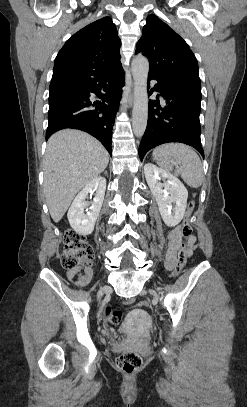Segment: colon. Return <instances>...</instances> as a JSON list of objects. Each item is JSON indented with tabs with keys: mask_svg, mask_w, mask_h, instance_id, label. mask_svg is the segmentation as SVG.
<instances>
[{
	"mask_svg": "<svg viewBox=\"0 0 247 407\" xmlns=\"http://www.w3.org/2000/svg\"><path fill=\"white\" fill-rule=\"evenodd\" d=\"M195 209V204L192 202L188 206L186 216L180 225V231L184 238V242L181 245L177 260L175 263L173 274L174 276L184 268L188 253L190 251V245L188 239L192 235L191 217ZM93 262V249L90 244L85 240L84 236L74 230H67L64 234V249L61 254V264L65 269H74L78 267H89ZM135 303L133 297L125 300L126 305H132ZM140 308H148L149 303L142 300L137 303ZM124 312L122 310H113L110 307L105 309V318L111 324L117 325L121 322ZM117 368L127 375L136 373L142 366V360L140 356L134 352H123L116 360Z\"/></svg>",
	"mask_w": 247,
	"mask_h": 407,
	"instance_id": "obj_1",
	"label": "colon"
}]
</instances>
